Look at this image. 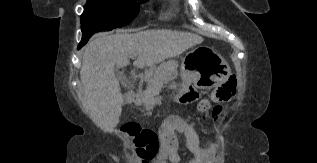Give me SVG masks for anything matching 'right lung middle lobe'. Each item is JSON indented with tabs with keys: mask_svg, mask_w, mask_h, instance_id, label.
<instances>
[{
	"mask_svg": "<svg viewBox=\"0 0 317 163\" xmlns=\"http://www.w3.org/2000/svg\"><path fill=\"white\" fill-rule=\"evenodd\" d=\"M147 0H87L81 15L82 40L92 34L120 28L132 21L139 12V3Z\"/></svg>",
	"mask_w": 317,
	"mask_h": 163,
	"instance_id": "right-lung-middle-lobe-1",
	"label": "right lung middle lobe"
}]
</instances>
